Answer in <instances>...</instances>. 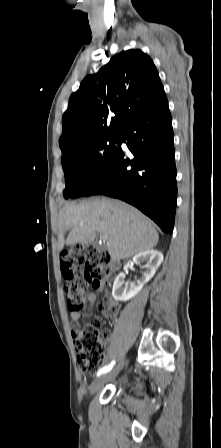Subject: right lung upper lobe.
Returning <instances> with one entry per match:
<instances>
[{
    "label": "right lung upper lobe",
    "mask_w": 221,
    "mask_h": 448,
    "mask_svg": "<svg viewBox=\"0 0 221 448\" xmlns=\"http://www.w3.org/2000/svg\"><path fill=\"white\" fill-rule=\"evenodd\" d=\"M165 96L153 61L139 49L123 51L88 75L69 99L59 139L62 159L84 144L119 134L136 114Z\"/></svg>",
    "instance_id": "1"
}]
</instances>
